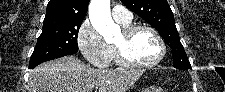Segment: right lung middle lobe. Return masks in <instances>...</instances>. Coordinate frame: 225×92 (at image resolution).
I'll return each instance as SVG.
<instances>
[{
    "instance_id": "obj_1",
    "label": "right lung middle lobe",
    "mask_w": 225,
    "mask_h": 92,
    "mask_svg": "<svg viewBox=\"0 0 225 92\" xmlns=\"http://www.w3.org/2000/svg\"><path fill=\"white\" fill-rule=\"evenodd\" d=\"M82 22L43 24L30 63L78 51L77 37Z\"/></svg>"
}]
</instances>
